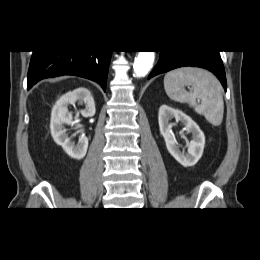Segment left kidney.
<instances>
[{
  "instance_id": "5707ae66",
  "label": "left kidney",
  "mask_w": 260,
  "mask_h": 260,
  "mask_svg": "<svg viewBox=\"0 0 260 260\" xmlns=\"http://www.w3.org/2000/svg\"><path fill=\"white\" fill-rule=\"evenodd\" d=\"M175 118L180 121L185 130L192 134L193 139L189 143L188 151H180L178 143L172 133L173 124L169 121ZM158 122L160 133L163 136L169 153L184 167L194 166L201 158L205 145V136L199 126L185 113L167 105L159 108Z\"/></svg>"
}]
</instances>
